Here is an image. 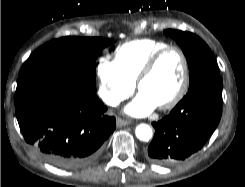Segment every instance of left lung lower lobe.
Segmentation results:
<instances>
[{
  "instance_id": "obj_1",
  "label": "left lung lower lobe",
  "mask_w": 245,
  "mask_h": 187,
  "mask_svg": "<svg viewBox=\"0 0 245 187\" xmlns=\"http://www.w3.org/2000/svg\"><path fill=\"white\" fill-rule=\"evenodd\" d=\"M222 115V78L207 79L189 89L171 113L153 122L155 134L147 158L157 164H174L202 148Z\"/></svg>"
}]
</instances>
